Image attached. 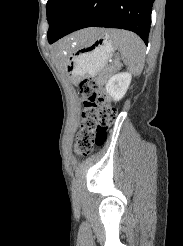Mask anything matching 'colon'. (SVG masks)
Listing matches in <instances>:
<instances>
[{
	"label": "colon",
	"instance_id": "5ec220e1",
	"mask_svg": "<svg viewBox=\"0 0 183 246\" xmlns=\"http://www.w3.org/2000/svg\"><path fill=\"white\" fill-rule=\"evenodd\" d=\"M79 88L82 111L75 150L77 154L87 156L95 146L105 142L107 131L115 121L117 112L95 79L82 80Z\"/></svg>",
	"mask_w": 183,
	"mask_h": 246
}]
</instances>
